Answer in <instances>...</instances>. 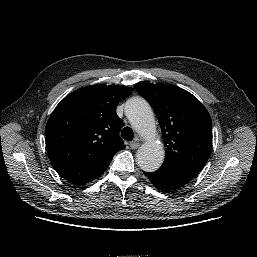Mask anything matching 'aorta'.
Masks as SVG:
<instances>
[{"label":"aorta","mask_w":257,"mask_h":257,"mask_svg":"<svg viewBox=\"0 0 257 257\" xmlns=\"http://www.w3.org/2000/svg\"><path fill=\"white\" fill-rule=\"evenodd\" d=\"M125 114L137 132L147 139L137 151V164L144 171H156L163 163L164 150L154 139L156 126L150 105L143 98H132L125 106Z\"/></svg>","instance_id":"762f6f07"}]
</instances>
